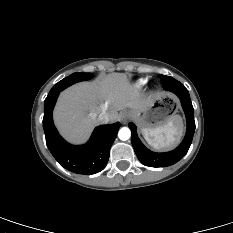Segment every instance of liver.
<instances>
[{
	"instance_id": "liver-1",
	"label": "liver",
	"mask_w": 233,
	"mask_h": 233,
	"mask_svg": "<svg viewBox=\"0 0 233 233\" xmlns=\"http://www.w3.org/2000/svg\"><path fill=\"white\" fill-rule=\"evenodd\" d=\"M154 100L130 83L123 73H112L94 82L75 84L63 91L54 110V122L61 135L72 143L85 142L100 123L104 112L115 122L119 111L132 109L142 112Z\"/></svg>"
}]
</instances>
